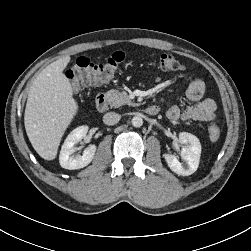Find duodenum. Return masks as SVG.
<instances>
[{"mask_svg": "<svg viewBox=\"0 0 251 251\" xmlns=\"http://www.w3.org/2000/svg\"><path fill=\"white\" fill-rule=\"evenodd\" d=\"M96 106L97 109L101 112H104L109 107V99L104 93H99L96 97ZM160 111L159 106L157 105H149L146 108V113L149 115H156Z\"/></svg>", "mask_w": 251, "mask_h": 251, "instance_id": "410a0bca", "label": "duodenum"}]
</instances>
